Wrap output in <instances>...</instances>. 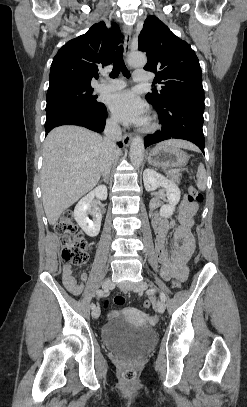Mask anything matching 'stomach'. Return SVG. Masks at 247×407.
<instances>
[{
	"label": "stomach",
	"instance_id": "obj_1",
	"mask_svg": "<svg viewBox=\"0 0 247 407\" xmlns=\"http://www.w3.org/2000/svg\"><path fill=\"white\" fill-rule=\"evenodd\" d=\"M188 160L186 152L166 142L156 145L148 155V162L157 167L182 168Z\"/></svg>",
	"mask_w": 247,
	"mask_h": 407
}]
</instances>
